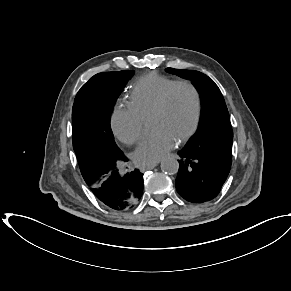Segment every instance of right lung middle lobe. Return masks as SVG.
I'll return each mask as SVG.
<instances>
[{"label": "right lung middle lobe", "mask_w": 291, "mask_h": 291, "mask_svg": "<svg viewBox=\"0 0 291 291\" xmlns=\"http://www.w3.org/2000/svg\"><path fill=\"white\" fill-rule=\"evenodd\" d=\"M133 71L94 75L77 93L72 109L73 148L80 168L117 161L124 155L110 127L112 108Z\"/></svg>", "instance_id": "dd1d6c3e"}]
</instances>
